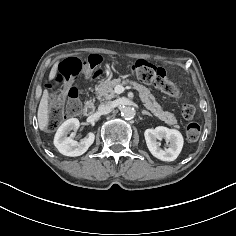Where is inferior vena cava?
<instances>
[{"label":"inferior vena cava","mask_w":236,"mask_h":236,"mask_svg":"<svg viewBox=\"0 0 236 236\" xmlns=\"http://www.w3.org/2000/svg\"><path fill=\"white\" fill-rule=\"evenodd\" d=\"M114 108V105L111 101L101 103L98 107V110L101 114H108L110 113Z\"/></svg>","instance_id":"602c4592"}]
</instances>
